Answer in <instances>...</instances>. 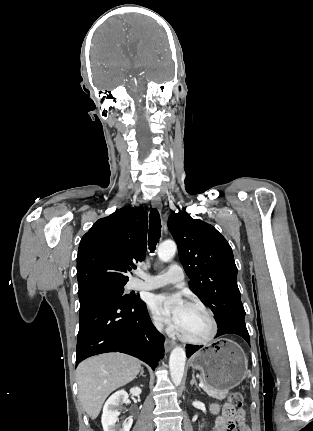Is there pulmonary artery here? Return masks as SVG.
Here are the masks:
<instances>
[{"label": "pulmonary artery", "mask_w": 313, "mask_h": 431, "mask_svg": "<svg viewBox=\"0 0 313 431\" xmlns=\"http://www.w3.org/2000/svg\"><path fill=\"white\" fill-rule=\"evenodd\" d=\"M143 280H135L132 287L137 290H153L167 285L182 287L184 285V272L177 264H172L169 268L157 275L148 277L140 274Z\"/></svg>", "instance_id": "obj_1"}]
</instances>
